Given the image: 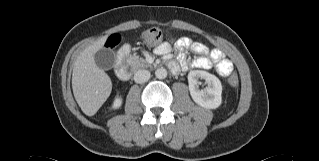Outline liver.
<instances>
[{
  "label": "liver",
  "mask_w": 319,
  "mask_h": 161,
  "mask_svg": "<svg viewBox=\"0 0 319 161\" xmlns=\"http://www.w3.org/2000/svg\"><path fill=\"white\" fill-rule=\"evenodd\" d=\"M107 36H103L86 47L74 63L72 89L75 100L84 114L94 115L110 96V77L95 63L94 54L104 46Z\"/></svg>",
  "instance_id": "liver-1"
}]
</instances>
